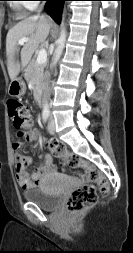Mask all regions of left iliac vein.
<instances>
[{
	"label": "left iliac vein",
	"mask_w": 133,
	"mask_h": 253,
	"mask_svg": "<svg viewBox=\"0 0 133 253\" xmlns=\"http://www.w3.org/2000/svg\"><path fill=\"white\" fill-rule=\"evenodd\" d=\"M47 129H48V132L50 134H54L55 133V123H54V120L52 118L50 119V121L48 123Z\"/></svg>",
	"instance_id": "1"
}]
</instances>
